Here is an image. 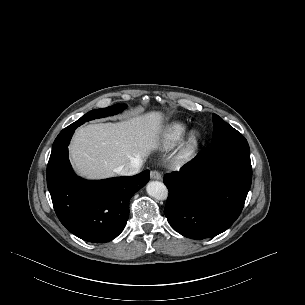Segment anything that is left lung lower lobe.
I'll return each mask as SVG.
<instances>
[{
  "instance_id": "obj_1",
  "label": "left lung lower lobe",
  "mask_w": 305,
  "mask_h": 305,
  "mask_svg": "<svg viewBox=\"0 0 305 305\" xmlns=\"http://www.w3.org/2000/svg\"><path fill=\"white\" fill-rule=\"evenodd\" d=\"M250 150L204 149L179 172L166 174L170 225L193 239L214 237L240 215L251 186Z\"/></svg>"
}]
</instances>
